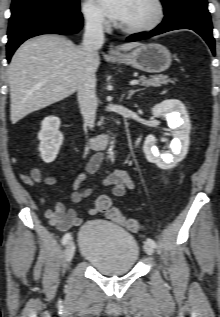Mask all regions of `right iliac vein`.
<instances>
[{
    "label": "right iliac vein",
    "instance_id": "63e3f726",
    "mask_svg": "<svg viewBox=\"0 0 220 317\" xmlns=\"http://www.w3.org/2000/svg\"><path fill=\"white\" fill-rule=\"evenodd\" d=\"M74 254H75V243L74 241L71 240L67 243L65 248L66 260L70 262L72 258L74 257Z\"/></svg>",
    "mask_w": 220,
    "mask_h": 317
}]
</instances>
